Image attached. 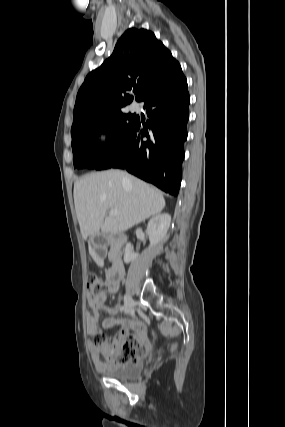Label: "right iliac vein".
Segmentation results:
<instances>
[{"instance_id": "1", "label": "right iliac vein", "mask_w": 285, "mask_h": 427, "mask_svg": "<svg viewBox=\"0 0 285 427\" xmlns=\"http://www.w3.org/2000/svg\"><path fill=\"white\" fill-rule=\"evenodd\" d=\"M133 305H134V300L132 299V297L129 294H125V296H124V307H125V312L127 314L132 311Z\"/></svg>"}]
</instances>
